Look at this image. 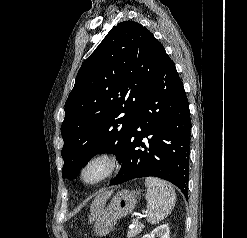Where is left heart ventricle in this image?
I'll list each match as a JSON object with an SVG mask.
<instances>
[{
  "label": "left heart ventricle",
  "instance_id": "b2bd125f",
  "mask_svg": "<svg viewBox=\"0 0 247 238\" xmlns=\"http://www.w3.org/2000/svg\"><path fill=\"white\" fill-rule=\"evenodd\" d=\"M100 172H101V168L100 167H95V168L90 170L89 176L90 177L97 176Z\"/></svg>",
  "mask_w": 247,
  "mask_h": 238
}]
</instances>
